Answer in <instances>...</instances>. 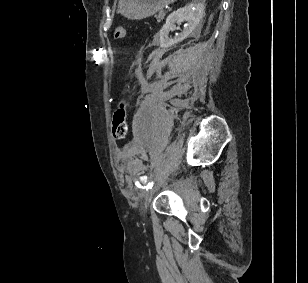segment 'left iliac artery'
<instances>
[{"label": "left iliac artery", "mask_w": 308, "mask_h": 283, "mask_svg": "<svg viewBox=\"0 0 308 283\" xmlns=\"http://www.w3.org/2000/svg\"><path fill=\"white\" fill-rule=\"evenodd\" d=\"M153 184H154L153 180L149 181L148 184L145 187L146 191L150 190L152 188Z\"/></svg>", "instance_id": "1"}]
</instances>
